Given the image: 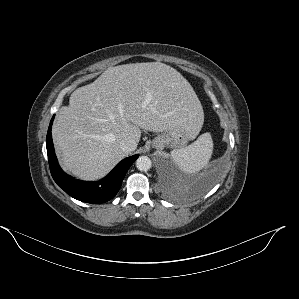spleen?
<instances>
[{
    "label": "spleen",
    "mask_w": 299,
    "mask_h": 299,
    "mask_svg": "<svg viewBox=\"0 0 299 299\" xmlns=\"http://www.w3.org/2000/svg\"><path fill=\"white\" fill-rule=\"evenodd\" d=\"M212 152L211 134L204 133L189 146L172 150L171 157L183 172L192 174L207 166Z\"/></svg>",
    "instance_id": "obj_1"
}]
</instances>
